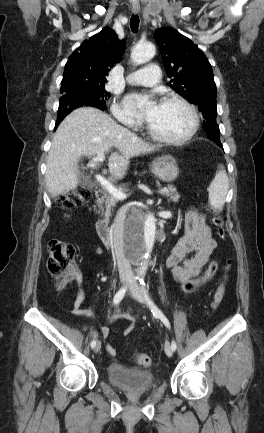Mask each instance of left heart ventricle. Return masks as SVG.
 <instances>
[{
    "label": "left heart ventricle",
    "instance_id": "obj_1",
    "mask_svg": "<svg viewBox=\"0 0 264 433\" xmlns=\"http://www.w3.org/2000/svg\"><path fill=\"white\" fill-rule=\"evenodd\" d=\"M149 125L160 135L178 138L188 132L192 118L189 111L177 103H160Z\"/></svg>",
    "mask_w": 264,
    "mask_h": 433
}]
</instances>
